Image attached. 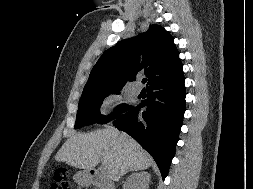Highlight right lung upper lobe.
<instances>
[{
	"label": "right lung upper lobe",
	"instance_id": "right-lung-upper-lobe-1",
	"mask_svg": "<svg viewBox=\"0 0 253 189\" xmlns=\"http://www.w3.org/2000/svg\"><path fill=\"white\" fill-rule=\"evenodd\" d=\"M182 67L172 36L162 26L151 25L146 32L106 50L93 67L83 91L123 87L127 81H134L139 71L147 75L150 86L179 76Z\"/></svg>",
	"mask_w": 253,
	"mask_h": 189
}]
</instances>
